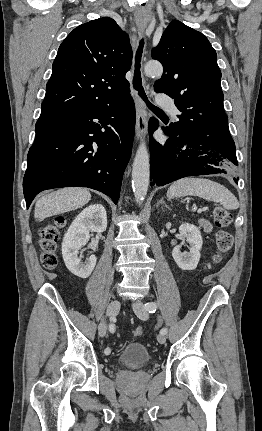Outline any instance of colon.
Instances as JSON below:
<instances>
[{
    "label": "colon",
    "instance_id": "colon-1",
    "mask_svg": "<svg viewBox=\"0 0 262 431\" xmlns=\"http://www.w3.org/2000/svg\"><path fill=\"white\" fill-rule=\"evenodd\" d=\"M214 217L217 226L220 228L215 235L216 253L214 260L218 261L221 255L231 251L233 245L231 233L222 229V227H227L231 224L232 215L228 210L218 207L214 211ZM65 223V218L60 216L40 230L41 263L46 269H54L57 266V246L60 231L65 226ZM143 332L142 327H137L133 333L135 336H140Z\"/></svg>",
    "mask_w": 262,
    "mask_h": 431
}]
</instances>
